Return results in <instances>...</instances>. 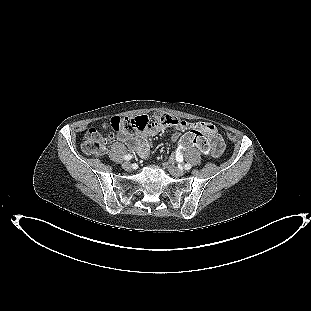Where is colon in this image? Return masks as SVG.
I'll return each mask as SVG.
<instances>
[{
  "label": "colon",
  "mask_w": 311,
  "mask_h": 311,
  "mask_svg": "<svg viewBox=\"0 0 311 311\" xmlns=\"http://www.w3.org/2000/svg\"><path fill=\"white\" fill-rule=\"evenodd\" d=\"M186 121L167 113H157L151 120L146 115L136 117H115L101 127L92 128L85 134L82 142V151L88 155H102L107 149V142L114 132L130 134L144 131L152 126L166 125L173 127L185 126ZM197 146L203 151L208 149V142L202 134L196 130L190 131L181 141L182 147Z\"/></svg>",
  "instance_id": "obj_1"
}]
</instances>
